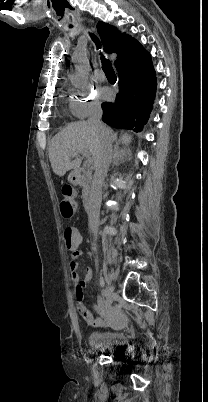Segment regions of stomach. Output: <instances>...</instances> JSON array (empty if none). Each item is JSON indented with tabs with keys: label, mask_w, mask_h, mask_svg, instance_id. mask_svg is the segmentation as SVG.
<instances>
[{
	"label": "stomach",
	"mask_w": 208,
	"mask_h": 402,
	"mask_svg": "<svg viewBox=\"0 0 208 402\" xmlns=\"http://www.w3.org/2000/svg\"><path fill=\"white\" fill-rule=\"evenodd\" d=\"M68 182L73 184V186H77V184H80L81 178L80 176H77L76 172H71V174L68 176Z\"/></svg>",
	"instance_id": "0dacf381"
}]
</instances>
